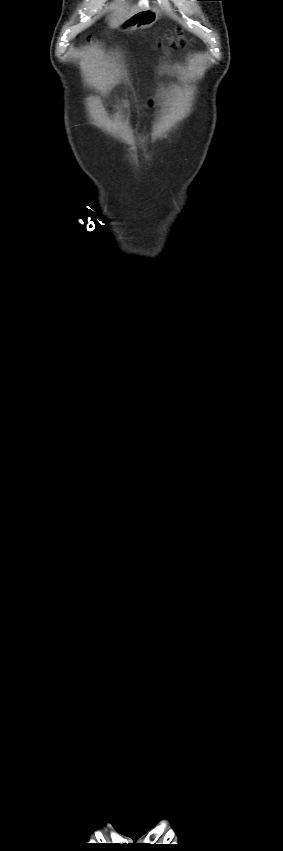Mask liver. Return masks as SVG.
Returning <instances> with one entry per match:
<instances>
[{
    "mask_svg": "<svg viewBox=\"0 0 283 851\" xmlns=\"http://www.w3.org/2000/svg\"><path fill=\"white\" fill-rule=\"evenodd\" d=\"M112 7H113V12L108 18H109V21L111 22L112 26H117L120 22H122L124 19H126L130 15H132V14H134V13L140 11V10L148 9V3L145 0H141L138 3V5L133 6L130 9V11L126 10L123 4H118V5L114 4V5H112Z\"/></svg>",
    "mask_w": 283,
    "mask_h": 851,
    "instance_id": "6515ba94",
    "label": "liver"
}]
</instances>
